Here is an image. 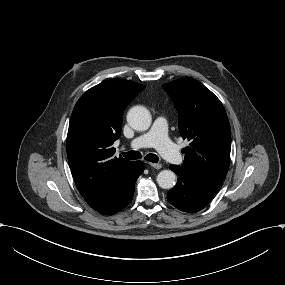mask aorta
Returning <instances> with one entry per match:
<instances>
[{
    "mask_svg": "<svg viewBox=\"0 0 285 285\" xmlns=\"http://www.w3.org/2000/svg\"><path fill=\"white\" fill-rule=\"evenodd\" d=\"M128 124L136 131L147 130L151 123L152 117L150 112L143 106L131 108L127 114ZM176 174L171 170H162L157 175V183L163 189H171L175 185Z\"/></svg>",
    "mask_w": 285,
    "mask_h": 285,
    "instance_id": "1",
    "label": "aorta"
}]
</instances>
